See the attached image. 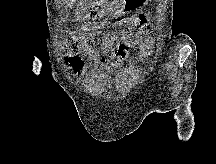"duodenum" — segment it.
<instances>
[{"mask_svg": "<svg viewBox=\"0 0 216 164\" xmlns=\"http://www.w3.org/2000/svg\"><path fill=\"white\" fill-rule=\"evenodd\" d=\"M91 9H101L102 0H91Z\"/></svg>", "mask_w": 216, "mask_h": 164, "instance_id": "410a0bca", "label": "duodenum"}]
</instances>
